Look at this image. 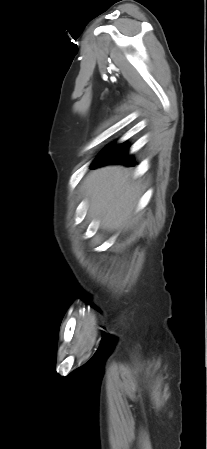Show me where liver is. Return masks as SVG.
Wrapping results in <instances>:
<instances>
[{
	"mask_svg": "<svg viewBox=\"0 0 207 449\" xmlns=\"http://www.w3.org/2000/svg\"><path fill=\"white\" fill-rule=\"evenodd\" d=\"M81 190L89 200V213L101 221L103 228L119 230L135 221L143 188L134 180L131 169L122 166L96 169L87 175Z\"/></svg>",
	"mask_w": 207,
	"mask_h": 449,
	"instance_id": "6515ba94",
	"label": "liver"
}]
</instances>
